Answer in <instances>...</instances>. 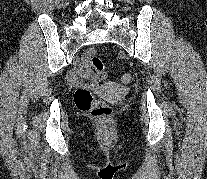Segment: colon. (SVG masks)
I'll list each match as a JSON object with an SVG mask.
<instances>
[{
  "label": "colon",
  "instance_id": "colon-1",
  "mask_svg": "<svg viewBox=\"0 0 207 179\" xmlns=\"http://www.w3.org/2000/svg\"><path fill=\"white\" fill-rule=\"evenodd\" d=\"M91 64L98 75L101 78H104L105 70L102 61L98 57L93 56ZM132 79L133 77L131 73H125L121 77L123 84H130ZM74 101L79 110L89 112L90 115L96 119L108 120L113 114L111 107L97 100L88 88H78L74 94Z\"/></svg>",
  "mask_w": 207,
  "mask_h": 179
}]
</instances>
